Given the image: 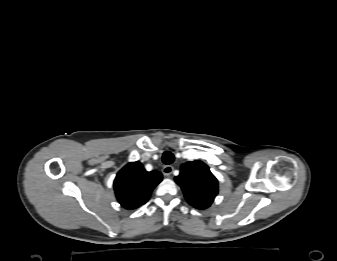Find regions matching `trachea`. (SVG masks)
I'll use <instances>...</instances> for the list:
<instances>
[{
  "mask_svg": "<svg viewBox=\"0 0 337 261\" xmlns=\"http://www.w3.org/2000/svg\"><path fill=\"white\" fill-rule=\"evenodd\" d=\"M162 161L164 164H171L174 161V155L170 151H166L162 156Z\"/></svg>",
  "mask_w": 337,
  "mask_h": 261,
  "instance_id": "1",
  "label": "trachea"
}]
</instances>
